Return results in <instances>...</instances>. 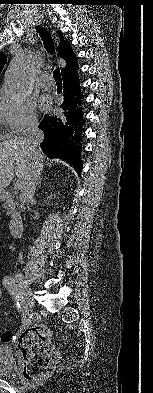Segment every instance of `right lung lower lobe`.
<instances>
[{
	"label": "right lung lower lobe",
	"mask_w": 153,
	"mask_h": 393,
	"mask_svg": "<svg viewBox=\"0 0 153 393\" xmlns=\"http://www.w3.org/2000/svg\"><path fill=\"white\" fill-rule=\"evenodd\" d=\"M77 70L62 75L64 100L60 107L63 113L53 117L46 115L39 128L44 132V140L40 144L42 150L50 158L67 161L79 174L82 168L80 153L84 111Z\"/></svg>",
	"instance_id": "1"
}]
</instances>
